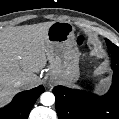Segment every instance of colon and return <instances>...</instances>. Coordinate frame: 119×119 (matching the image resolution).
Masks as SVG:
<instances>
[{
	"mask_svg": "<svg viewBox=\"0 0 119 119\" xmlns=\"http://www.w3.org/2000/svg\"><path fill=\"white\" fill-rule=\"evenodd\" d=\"M77 43H78V44H82V43H83V37L79 36V37L77 38Z\"/></svg>",
	"mask_w": 119,
	"mask_h": 119,
	"instance_id": "colon-1",
	"label": "colon"
}]
</instances>
